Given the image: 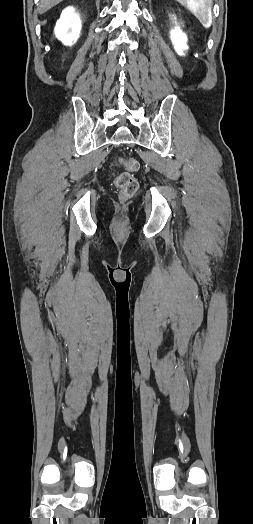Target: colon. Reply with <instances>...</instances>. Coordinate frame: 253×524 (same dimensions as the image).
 I'll use <instances>...</instances> for the list:
<instances>
[{"instance_id":"1","label":"colon","mask_w":253,"mask_h":524,"mask_svg":"<svg viewBox=\"0 0 253 524\" xmlns=\"http://www.w3.org/2000/svg\"><path fill=\"white\" fill-rule=\"evenodd\" d=\"M116 164L127 170L116 176L115 186L120 191L121 198L128 199L135 194L138 188V181L131 174L138 169V162L134 159L117 158Z\"/></svg>"}]
</instances>
